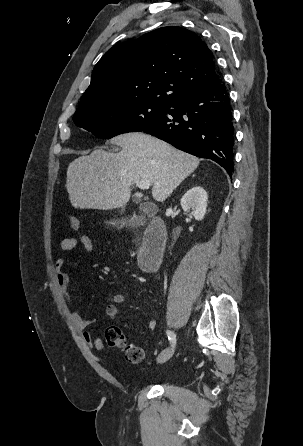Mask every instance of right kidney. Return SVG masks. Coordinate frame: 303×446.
Masks as SVG:
<instances>
[{"mask_svg": "<svg viewBox=\"0 0 303 446\" xmlns=\"http://www.w3.org/2000/svg\"><path fill=\"white\" fill-rule=\"evenodd\" d=\"M208 196L206 191L200 187L195 186L189 189L181 199V206L184 211L192 210L191 214L198 221H201L207 208Z\"/></svg>", "mask_w": 303, "mask_h": 446, "instance_id": "right-kidney-1", "label": "right kidney"}]
</instances>
